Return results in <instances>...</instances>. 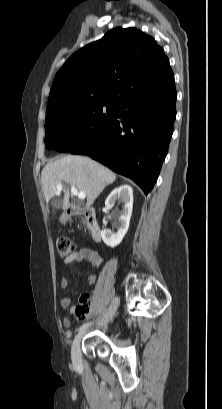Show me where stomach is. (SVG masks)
<instances>
[{
  "label": "stomach",
  "mask_w": 222,
  "mask_h": 409,
  "mask_svg": "<svg viewBox=\"0 0 222 409\" xmlns=\"http://www.w3.org/2000/svg\"><path fill=\"white\" fill-rule=\"evenodd\" d=\"M69 219V215L66 213H63L59 219L60 223L65 224Z\"/></svg>",
  "instance_id": "stomach-1"
}]
</instances>
